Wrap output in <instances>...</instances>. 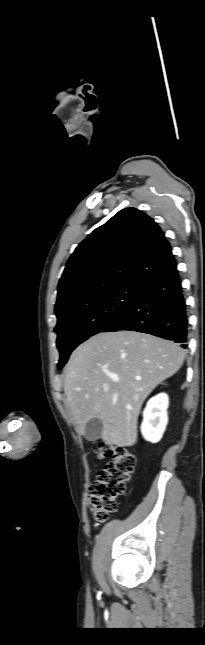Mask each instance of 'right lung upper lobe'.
Here are the masks:
<instances>
[{"mask_svg": "<svg viewBox=\"0 0 205 645\" xmlns=\"http://www.w3.org/2000/svg\"><path fill=\"white\" fill-rule=\"evenodd\" d=\"M176 262L157 223L136 208L119 211L70 256L58 285L55 313L123 284H139Z\"/></svg>", "mask_w": 205, "mask_h": 645, "instance_id": "1", "label": "right lung upper lobe"}]
</instances>
